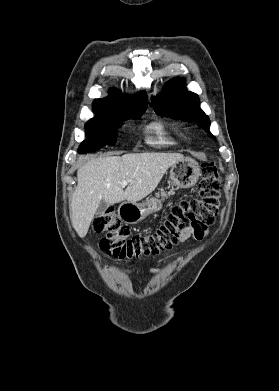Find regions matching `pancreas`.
Here are the masks:
<instances>
[{
	"mask_svg": "<svg viewBox=\"0 0 279 391\" xmlns=\"http://www.w3.org/2000/svg\"><path fill=\"white\" fill-rule=\"evenodd\" d=\"M174 192L171 190L168 194L164 191L163 188L160 189V194L159 193H156V196H161L162 198H166L167 195H171L173 194Z\"/></svg>",
	"mask_w": 279,
	"mask_h": 391,
	"instance_id": "pancreas-1",
	"label": "pancreas"
}]
</instances>
